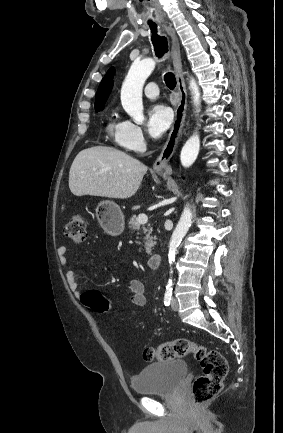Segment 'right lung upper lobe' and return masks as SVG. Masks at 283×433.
<instances>
[{
  "instance_id": "cb5924a9",
  "label": "right lung upper lobe",
  "mask_w": 283,
  "mask_h": 433,
  "mask_svg": "<svg viewBox=\"0 0 283 433\" xmlns=\"http://www.w3.org/2000/svg\"><path fill=\"white\" fill-rule=\"evenodd\" d=\"M114 68L111 67L102 79L96 93L95 109L104 107V104L111 93L113 86Z\"/></svg>"
}]
</instances>
